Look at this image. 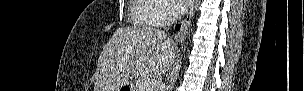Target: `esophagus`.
<instances>
[{
	"instance_id": "1",
	"label": "esophagus",
	"mask_w": 304,
	"mask_h": 91,
	"mask_svg": "<svg viewBox=\"0 0 304 91\" xmlns=\"http://www.w3.org/2000/svg\"><path fill=\"white\" fill-rule=\"evenodd\" d=\"M197 4H198V0H194L193 1V5H192L189 13L182 20V22H181V29L175 35V38H174L177 43L178 42L181 43V42H183L186 39V37L188 35L189 27L191 25L192 18H193L194 13H195V9H196Z\"/></svg>"
}]
</instances>
